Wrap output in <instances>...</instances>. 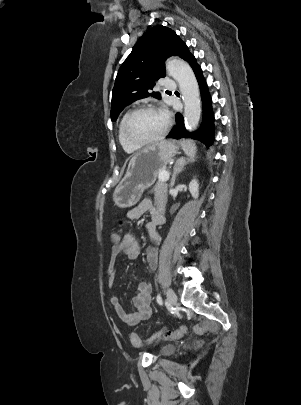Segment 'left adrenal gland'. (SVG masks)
I'll return each mask as SVG.
<instances>
[{
    "label": "left adrenal gland",
    "mask_w": 301,
    "mask_h": 405,
    "mask_svg": "<svg viewBox=\"0 0 301 405\" xmlns=\"http://www.w3.org/2000/svg\"><path fill=\"white\" fill-rule=\"evenodd\" d=\"M194 159L192 160H186L185 158H180L176 161L174 168H173V175H172V179H171V183L170 186L173 187L175 184V180L177 175L182 172V170H184L185 166L189 163V162H193Z\"/></svg>",
    "instance_id": "1"
}]
</instances>
